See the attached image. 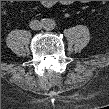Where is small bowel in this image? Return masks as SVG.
Segmentation results:
<instances>
[{
    "mask_svg": "<svg viewBox=\"0 0 109 109\" xmlns=\"http://www.w3.org/2000/svg\"><path fill=\"white\" fill-rule=\"evenodd\" d=\"M50 4H51L50 1H46V2H45V5H46V6H49Z\"/></svg>",
    "mask_w": 109,
    "mask_h": 109,
    "instance_id": "c3829d8e",
    "label": "small bowel"
}]
</instances>
